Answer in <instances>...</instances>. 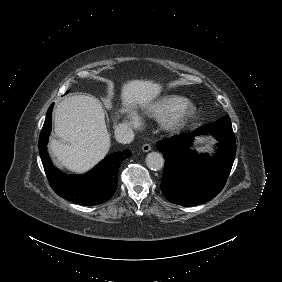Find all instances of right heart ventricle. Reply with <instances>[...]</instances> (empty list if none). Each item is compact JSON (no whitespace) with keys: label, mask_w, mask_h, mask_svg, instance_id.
<instances>
[{"label":"right heart ventricle","mask_w":282,"mask_h":282,"mask_svg":"<svg viewBox=\"0 0 282 282\" xmlns=\"http://www.w3.org/2000/svg\"><path fill=\"white\" fill-rule=\"evenodd\" d=\"M181 105V100L179 99H170L167 101H164L158 106V110L161 112H171L179 108Z\"/></svg>","instance_id":"e07e8e85"}]
</instances>
